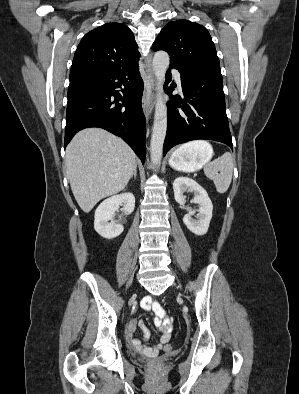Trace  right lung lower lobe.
<instances>
[{
	"label": "right lung lower lobe",
	"instance_id": "1",
	"mask_svg": "<svg viewBox=\"0 0 299 394\" xmlns=\"http://www.w3.org/2000/svg\"><path fill=\"white\" fill-rule=\"evenodd\" d=\"M142 93L138 65L70 80L64 148L79 130L100 127L120 136L144 163Z\"/></svg>",
	"mask_w": 299,
	"mask_h": 394
}]
</instances>
